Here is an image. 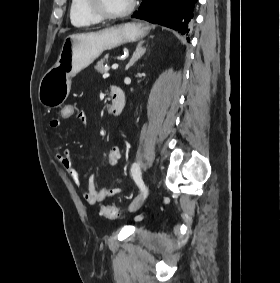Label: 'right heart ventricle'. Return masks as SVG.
Returning a JSON list of instances; mask_svg holds the SVG:
<instances>
[{
	"instance_id": "right-heart-ventricle-1",
	"label": "right heart ventricle",
	"mask_w": 280,
	"mask_h": 283,
	"mask_svg": "<svg viewBox=\"0 0 280 283\" xmlns=\"http://www.w3.org/2000/svg\"><path fill=\"white\" fill-rule=\"evenodd\" d=\"M70 20L76 27H86L100 22V18L87 7L86 0H71Z\"/></svg>"
}]
</instances>
